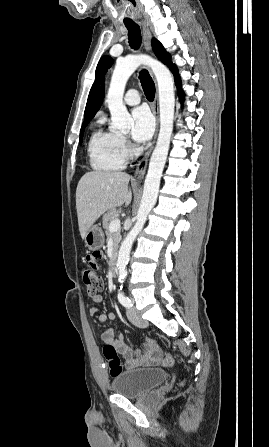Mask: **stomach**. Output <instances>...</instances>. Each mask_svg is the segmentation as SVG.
<instances>
[{"label": "stomach", "instance_id": "1", "mask_svg": "<svg viewBox=\"0 0 269 447\" xmlns=\"http://www.w3.org/2000/svg\"><path fill=\"white\" fill-rule=\"evenodd\" d=\"M84 239L88 249H100L104 243V233L99 225H91Z\"/></svg>", "mask_w": 269, "mask_h": 447}]
</instances>
